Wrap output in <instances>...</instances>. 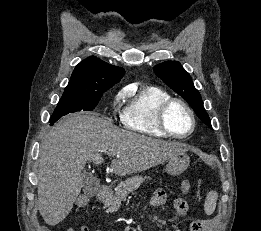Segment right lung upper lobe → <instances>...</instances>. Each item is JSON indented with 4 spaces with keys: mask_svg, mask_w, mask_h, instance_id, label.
Here are the masks:
<instances>
[{
    "mask_svg": "<svg viewBox=\"0 0 261 231\" xmlns=\"http://www.w3.org/2000/svg\"><path fill=\"white\" fill-rule=\"evenodd\" d=\"M123 68L112 66L95 56L80 62L64 92H105L123 77Z\"/></svg>",
    "mask_w": 261,
    "mask_h": 231,
    "instance_id": "cb5924a9",
    "label": "right lung upper lobe"
}]
</instances>
